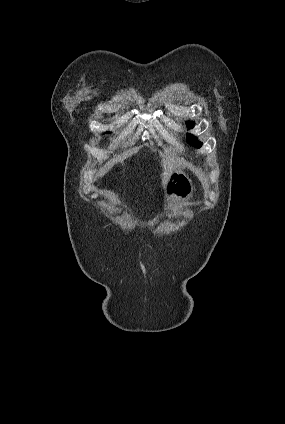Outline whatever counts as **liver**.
Listing matches in <instances>:
<instances>
[{
	"instance_id": "liver-1",
	"label": "liver",
	"mask_w": 285,
	"mask_h": 424,
	"mask_svg": "<svg viewBox=\"0 0 285 424\" xmlns=\"http://www.w3.org/2000/svg\"><path fill=\"white\" fill-rule=\"evenodd\" d=\"M130 153H134V150H132ZM161 165L163 167V173L161 175L162 186L165 187L170 175L176 169V161L173 158L162 156Z\"/></svg>"
}]
</instances>
